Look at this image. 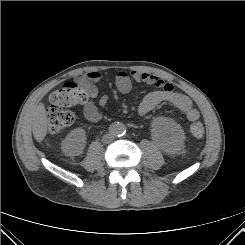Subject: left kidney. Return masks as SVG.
<instances>
[{"mask_svg": "<svg viewBox=\"0 0 245 245\" xmlns=\"http://www.w3.org/2000/svg\"><path fill=\"white\" fill-rule=\"evenodd\" d=\"M153 135L167 152L177 151L184 141V131L182 127L172 119L158 118L154 121Z\"/></svg>", "mask_w": 245, "mask_h": 245, "instance_id": "5707ae66", "label": "left kidney"}]
</instances>
